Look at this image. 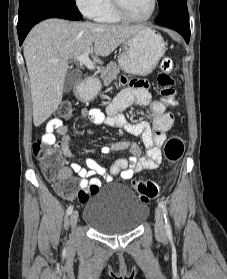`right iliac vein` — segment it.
Returning <instances> with one entry per match:
<instances>
[{"mask_svg": "<svg viewBox=\"0 0 227 279\" xmlns=\"http://www.w3.org/2000/svg\"><path fill=\"white\" fill-rule=\"evenodd\" d=\"M78 211L77 210H74L72 213H71V216H70V225H71V228L74 229L76 224H77V221H78Z\"/></svg>", "mask_w": 227, "mask_h": 279, "instance_id": "right-iliac-vein-1", "label": "right iliac vein"}]
</instances>
